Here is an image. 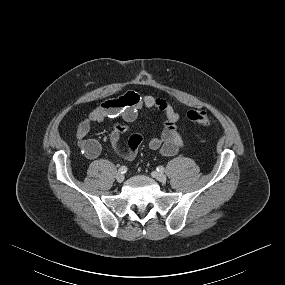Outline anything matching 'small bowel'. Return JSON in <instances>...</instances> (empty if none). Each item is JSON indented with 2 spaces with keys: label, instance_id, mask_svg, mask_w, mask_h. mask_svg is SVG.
<instances>
[{
  "label": "small bowel",
  "instance_id": "1",
  "mask_svg": "<svg viewBox=\"0 0 285 285\" xmlns=\"http://www.w3.org/2000/svg\"><path fill=\"white\" fill-rule=\"evenodd\" d=\"M142 108L158 109L165 118L164 127L160 133L150 139L149 148L159 151L164 156L175 155L183 146L181 129L178 127L179 114L166 99L127 91L117 98L102 102L79 123L76 137L78 147L84 156L88 159H95L101 151L100 144L96 140L86 139L92 124L111 119L115 123L109 136L110 143L120 155L131 159L140 147L142 137L139 134H133L129 138L128 148L123 149L120 145V135L128 131L126 123L134 122ZM120 119L125 123L120 122Z\"/></svg>",
  "mask_w": 285,
  "mask_h": 285
}]
</instances>
